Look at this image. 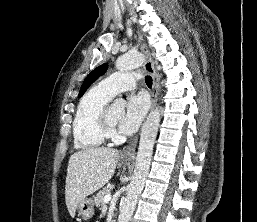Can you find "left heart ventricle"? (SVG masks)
Instances as JSON below:
<instances>
[{
	"label": "left heart ventricle",
	"instance_id": "b2bd125f",
	"mask_svg": "<svg viewBox=\"0 0 257 222\" xmlns=\"http://www.w3.org/2000/svg\"><path fill=\"white\" fill-rule=\"evenodd\" d=\"M123 116L122 110L116 107L110 108V120L114 125H117Z\"/></svg>",
	"mask_w": 257,
	"mask_h": 222
}]
</instances>
